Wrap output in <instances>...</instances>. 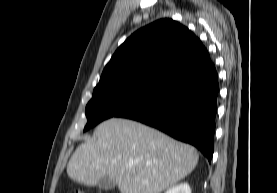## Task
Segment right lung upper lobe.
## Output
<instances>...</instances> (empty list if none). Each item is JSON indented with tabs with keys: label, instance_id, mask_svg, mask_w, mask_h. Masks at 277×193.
Wrapping results in <instances>:
<instances>
[{
	"label": "right lung upper lobe",
	"instance_id": "cb5924a9",
	"mask_svg": "<svg viewBox=\"0 0 277 193\" xmlns=\"http://www.w3.org/2000/svg\"><path fill=\"white\" fill-rule=\"evenodd\" d=\"M209 61L208 51L188 28L160 19L136 31L116 50L94 90L123 86L157 90Z\"/></svg>",
	"mask_w": 277,
	"mask_h": 193
}]
</instances>
